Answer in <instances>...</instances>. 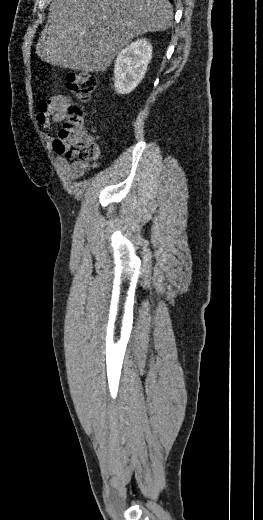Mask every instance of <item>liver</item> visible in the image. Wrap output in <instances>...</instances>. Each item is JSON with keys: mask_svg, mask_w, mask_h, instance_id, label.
Returning a JSON list of instances; mask_svg holds the SVG:
<instances>
[{"mask_svg": "<svg viewBox=\"0 0 263 520\" xmlns=\"http://www.w3.org/2000/svg\"><path fill=\"white\" fill-rule=\"evenodd\" d=\"M172 20L168 0H52L36 53L54 66L105 71L132 39Z\"/></svg>", "mask_w": 263, "mask_h": 520, "instance_id": "6515ba94", "label": "liver"}]
</instances>
